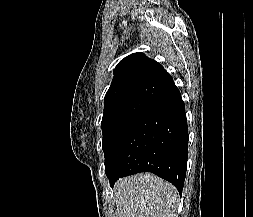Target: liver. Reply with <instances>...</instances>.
I'll use <instances>...</instances> for the list:
<instances>
[{
  "label": "liver",
  "instance_id": "1",
  "mask_svg": "<svg viewBox=\"0 0 253 217\" xmlns=\"http://www.w3.org/2000/svg\"><path fill=\"white\" fill-rule=\"evenodd\" d=\"M177 189L152 173L122 178L114 186L117 217H174Z\"/></svg>",
  "mask_w": 253,
  "mask_h": 217
}]
</instances>
